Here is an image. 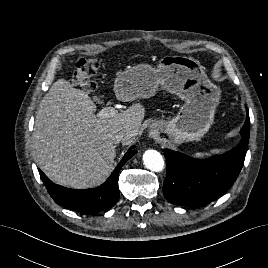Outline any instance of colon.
Returning <instances> with one entry per match:
<instances>
[{
    "label": "colon",
    "mask_w": 268,
    "mask_h": 268,
    "mask_svg": "<svg viewBox=\"0 0 268 268\" xmlns=\"http://www.w3.org/2000/svg\"><path fill=\"white\" fill-rule=\"evenodd\" d=\"M101 66V60L98 58H82L76 64L75 73L71 79L74 85L84 89L93 90L96 87L92 77Z\"/></svg>",
    "instance_id": "obj_1"
}]
</instances>
